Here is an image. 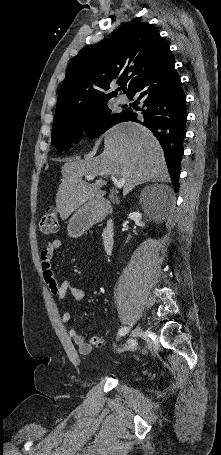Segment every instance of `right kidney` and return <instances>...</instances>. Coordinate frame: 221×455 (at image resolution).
<instances>
[{
    "label": "right kidney",
    "mask_w": 221,
    "mask_h": 455,
    "mask_svg": "<svg viewBox=\"0 0 221 455\" xmlns=\"http://www.w3.org/2000/svg\"><path fill=\"white\" fill-rule=\"evenodd\" d=\"M129 218L135 222L137 226L143 227L144 224L141 222L142 215L140 212H133L129 214Z\"/></svg>",
    "instance_id": "ca27d5eb"
}]
</instances>
